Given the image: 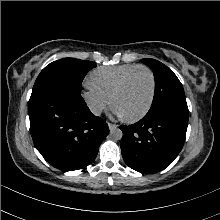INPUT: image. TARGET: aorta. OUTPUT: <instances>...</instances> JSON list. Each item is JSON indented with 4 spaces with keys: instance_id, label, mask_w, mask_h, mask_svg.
Here are the masks:
<instances>
[{
    "instance_id": "762f6f07",
    "label": "aorta",
    "mask_w": 220,
    "mask_h": 220,
    "mask_svg": "<svg viewBox=\"0 0 220 220\" xmlns=\"http://www.w3.org/2000/svg\"><path fill=\"white\" fill-rule=\"evenodd\" d=\"M110 136L114 140H120L123 136L122 130H120L119 128H113L110 131Z\"/></svg>"
}]
</instances>
